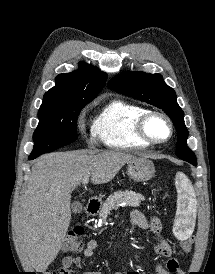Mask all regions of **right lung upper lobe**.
Wrapping results in <instances>:
<instances>
[{
	"label": "right lung upper lobe",
	"instance_id": "cb5924a9",
	"mask_svg": "<svg viewBox=\"0 0 215 274\" xmlns=\"http://www.w3.org/2000/svg\"><path fill=\"white\" fill-rule=\"evenodd\" d=\"M106 78V73L81 62L78 70L56 77V85L45 93L43 103L67 102L86 105L100 93Z\"/></svg>",
	"mask_w": 215,
	"mask_h": 274
}]
</instances>
